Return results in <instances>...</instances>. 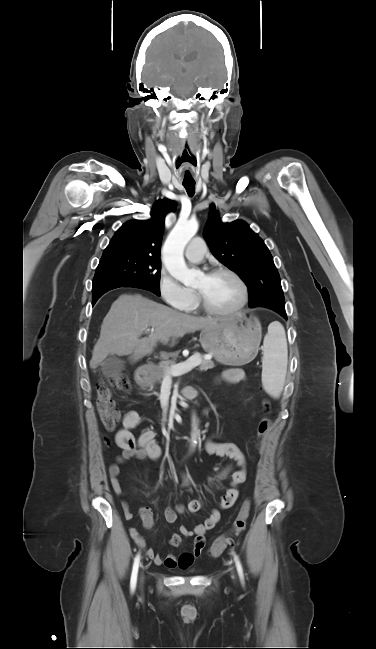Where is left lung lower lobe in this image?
I'll use <instances>...</instances> for the list:
<instances>
[{
  "label": "left lung lower lobe",
  "mask_w": 376,
  "mask_h": 649,
  "mask_svg": "<svg viewBox=\"0 0 376 649\" xmlns=\"http://www.w3.org/2000/svg\"><path fill=\"white\" fill-rule=\"evenodd\" d=\"M281 315H282L284 318H287V316H286V312H282Z\"/></svg>",
  "instance_id": "1"
}]
</instances>
